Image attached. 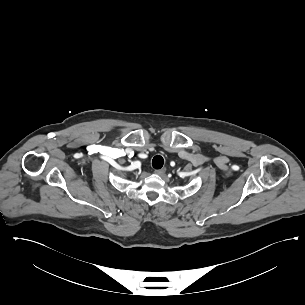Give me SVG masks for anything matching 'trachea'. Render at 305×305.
I'll use <instances>...</instances> for the list:
<instances>
[{
	"label": "trachea",
	"mask_w": 305,
	"mask_h": 305,
	"mask_svg": "<svg viewBox=\"0 0 305 305\" xmlns=\"http://www.w3.org/2000/svg\"><path fill=\"white\" fill-rule=\"evenodd\" d=\"M163 165H164V159L161 156L157 155L152 159L153 168L160 169L163 167Z\"/></svg>",
	"instance_id": "trachea-1"
}]
</instances>
